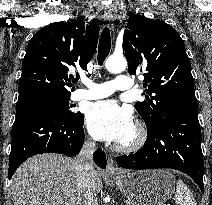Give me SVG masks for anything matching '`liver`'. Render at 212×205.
<instances>
[{"label": "liver", "mask_w": 212, "mask_h": 205, "mask_svg": "<svg viewBox=\"0 0 212 205\" xmlns=\"http://www.w3.org/2000/svg\"><path fill=\"white\" fill-rule=\"evenodd\" d=\"M75 160L54 153L26 160L11 180L14 205H79ZM95 170V192L102 190Z\"/></svg>", "instance_id": "6515ba94"}]
</instances>
